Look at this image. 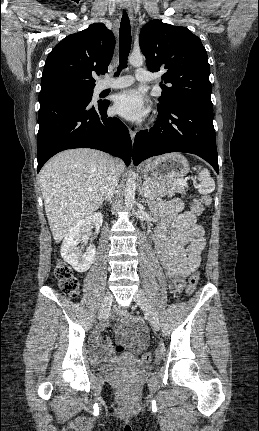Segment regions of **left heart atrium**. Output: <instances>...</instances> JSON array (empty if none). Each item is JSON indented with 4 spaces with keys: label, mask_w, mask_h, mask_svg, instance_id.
I'll list each match as a JSON object with an SVG mask.
<instances>
[{
    "label": "left heart atrium",
    "mask_w": 259,
    "mask_h": 431,
    "mask_svg": "<svg viewBox=\"0 0 259 431\" xmlns=\"http://www.w3.org/2000/svg\"><path fill=\"white\" fill-rule=\"evenodd\" d=\"M114 111L131 121H138L148 115L149 108L144 97L130 89L119 93L114 100Z\"/></svg>",
    "instance_id": "obj_1"
}]
</instances>
